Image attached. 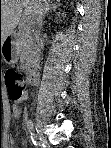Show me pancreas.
Returning <instances> with one entry per match:
<instances>
[{"label":"pancreas","mask_w":111,"mask_h":148,"mask_svg":"<svg viewBox=\"0 0 111 148\" xmlns=\"http://www.w3.org/2000/svg\"><path fill=\"white\" fill-rule=\"evenodd\" d=\"M19 37H20V48H21V55H20V62L23 64V68L27 69V61H28V46H27V39L29 37V31H28V27L24 26L22 28H20L19 33H18Z\"/></svg>","instance_id":"obj_1"}]
</instances>
